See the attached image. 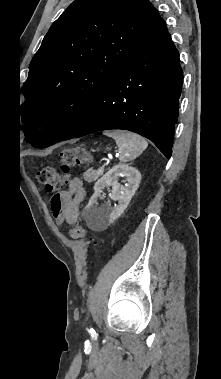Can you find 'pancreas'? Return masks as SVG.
Here are the masks:
<instances>
[{"label": "pancreas", "mask_w": 221, "mask_h": 379, "mask_svg": "<svg viewBox=\"0 0 221 379\" xmlns=\"http://www.w3.org/2000/svg\"><path fill=\"white\" fill-rule=\"evenodd\" d=\"M103 173V170H94V169H89L83 174V178L87 182H93L96 181Z\"/></svg>", "instance_id": "pancreas-1"}]
</instances>
